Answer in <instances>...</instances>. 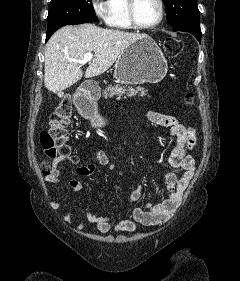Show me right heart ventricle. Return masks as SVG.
<instances>
[{
    "mask_svg": "<svg viewBox=\"0 0 240 281\" xmlns=\"http://www.w3.org/2000/svg\"><path fill=\"white\" fill-rule=\"evenodd\" d=\"M108 26L119 30L133 28L128 17L127 0H108V12L105 18Z\"/></svg>",
    "mask_w": 240,
    "mask_h": 281,
    "instance_id": "1",
    "label": "right heart ventricle"
}]
</instances>
